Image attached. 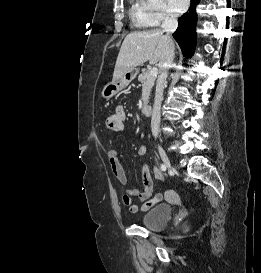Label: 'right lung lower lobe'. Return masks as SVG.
<instances>
[{"label": "right lung lower lobe", "mask_w": 261, "mask_h": 273, "mask_svg": "<svg viewBox=\"0 0 261 273\" xmlns=\"http://www.w3.org/2000/svg\"><path fill=\"white\" fill-rule=\"evenodd\" d=\"M199 0H191V7L187 13L178 19L179 26L173 33V37L178 42L185 57H190L196 44V5Z\"/></svg>", "instance_id": "obj_1"}]
</instances>
